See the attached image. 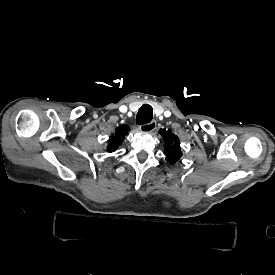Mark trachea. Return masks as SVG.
<instances>
[{
	"instance_id": "trachea-1",
	"label": "trachea",
	"mask_w": 275,
	"mask_h": 275,
	"mask_svg": "<svg viewBox=\"0 0 275 275\" xmlns=\"http://www.w3.org/2000/svg\"><path fill=\"white\" fill-rule=\"evenodd\" d=\"M153 117V110L152 107L148 104L143 105L136 116V122L139 125H144L146 123H149L152 120Z\"/></svg>"
}]
</instances>
